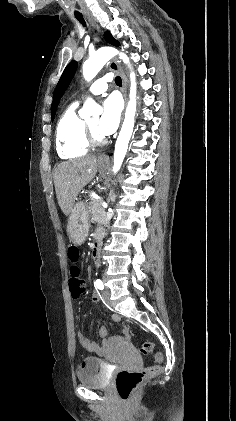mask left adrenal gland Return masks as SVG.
Instances as JSON below:
<instances>
[{"instance_id":"obj_1","label":"left adrenal gland","mask_w":236,"mask_h":421,"mask_svg":"<svg viewBox=\"0 0 236 421\" xmlns=\"http://www.w3.org/2000/svg\"><path fill=\"white\" fill-rule=\"evenodd\" d=\"M108 200H112V204H113V202H115V192H113V190H110Z\"/></svg>"}]
</instances>
